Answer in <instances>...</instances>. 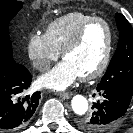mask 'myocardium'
Segmentation results:
<instances>
[{
    "label": "myocardium",
    "mask_w": 133,
    "mask_h": 133,
    "mask_svg": "<svg viewBox=\"0 0 133 133\" xmlns=\"http://www.w3.org/2000/svg\"><path fill=\"white\" fill-rule=\"evenodd\" d=\"M94 23H102L106 27V29H107V46H106L105 54L103 56L101 63L99 64V66L91 73L80 76V79L82 81H90V80H94V79L98 78L100 75H102L104 73V71L106 70V68L109 65L111 55H112L113 41H114V33H113V29H112L110 23L101 17L90 18L89 20L85 21L80 26V28L77 30V32L74 34V36L70 39V41L64 46V48L61 51L62 57L65 58V56L70 51H72L79 45V43L81 42L88 27Z\"/></svg>",
    "instance_id": "obj_1"
}]
</instances>
